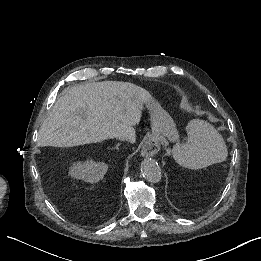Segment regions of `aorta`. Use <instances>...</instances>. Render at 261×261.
I'll return each instance as SVG.
<instances>
[{
  "label": "aorta",
  "instance_id": "1",
  "mask_svg": "<svg viewBox=\"0 0 261 261\" xmlns=\"http://www.w3.org/2000/svg\"><path fill=\"white\" fill-rule=\"evenodd\" d=\"M140 169L141 174L147 181L151 183H158L161 180V168L154 159H144L141 163Z\"/></svg>",
  "mask_w": 261,
  "mask_h": 261
}]
</instances>
